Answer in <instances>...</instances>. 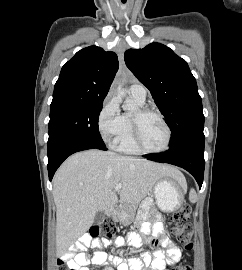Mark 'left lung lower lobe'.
Instances as JSON below:
<instances>
[{
	"label": "left lung lower lobe",
	"instance_id": "1",
	"mask_svg": "<svg viewBox=\"0 0 242 270\" xmlns=\"http://www.w3.org/2000/svg\"><path fill=\"white\" fill-rule=\"evenodd\" d=\"M204 141L205 137L188 139L174 148L162 154H147L143 157L149 160L170 163L184 168L191 173L201 188L204 175Z\"/></svg>",
	"mask_w": 242,
	"mask_h": 270
}]
</instances>
